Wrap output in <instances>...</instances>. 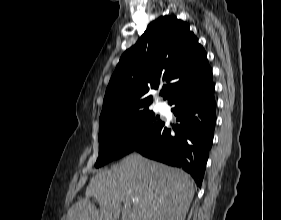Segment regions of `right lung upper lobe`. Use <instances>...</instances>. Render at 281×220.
I'll return each mask as SVG.
<instances>
[{
    "label": "right lung upper lobe",
    "instance_id": "1",
    "mask_svg": "<svg viewBox=\"0 0 281 220\" xmlns=\"http://www.w3.org/2000/svg\"><path fill=\"white\" fill-rule=\"evenodd\" d=\"M211 81L206 52L188 24L162 16L151 22L139 41L121 56L106 89L99 126L147 109L153 100L149 90L162 82L169 87L163 97L171 101Z\"/></svg>",
    "mask_w": 281,
    "mask_h": 220
}]
</instances>
